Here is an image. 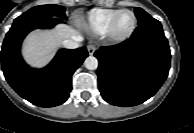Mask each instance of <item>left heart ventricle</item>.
<instances>
[{"mask_svg": "<svg viewBox=\"0 0 194 133\" xmlns=\"http://www.w3.org/2000/svg\"><path fill=\"white\" fill-rule=\"evenodd\" d=\"M133 25V16L128 13H122L116 20L114 25V33L116 35H124L131 29Z\"/></svg>", "mask_w": 194, "mask_h": 133, "instance_id": "b2bd125f", "label": "left heart ventricle"}]
</instances>
